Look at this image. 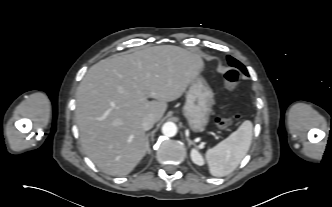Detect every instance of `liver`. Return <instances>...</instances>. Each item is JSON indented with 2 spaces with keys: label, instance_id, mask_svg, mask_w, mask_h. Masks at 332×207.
Segmentation results:
<instances>
[{
  "label": "liver",
  "instance_id": "liver-1",
  "mask_svg": "<svg viewBox=\"0 0 332 207\" xmlns=\"http://www.w3.org/2000/svg\"><path fill=\"white\" fill-rule=\"evenodd\" d=\"M203 69L199 54L172 45L115 54L93 65L76 93L86 155L106 174H129L147 151L142 119L153 115L159 121L167 102L181 97Z\"/></svg>",
  "mask_w": 332,
  "mask_h": 207
}]
</instances>
